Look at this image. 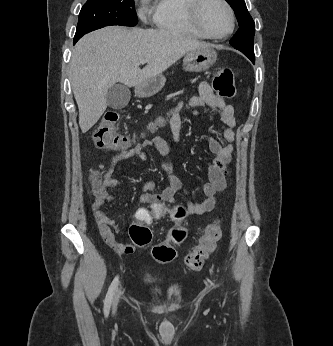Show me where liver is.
<instances>
[{
    "mask_svg": "<svg viewBox=\"0 0 333 346\" xmlns=\"http://www.w3.org/2000/svg\"><path fill=\"white\" fill-rule=\"evenodd\" d=\"M206 43L170 30L106 27L82 37L70 62V81L83 133L107 108L108 89L120 82L136 87L160 75L188 52ZM142 60L147 65L140 69Z\"/></svg>",
    "mask_w": 333,
    "mask_h": 346,
    "instance_id": "6515ba94",
    "label": "liver"
}]
</instances>
